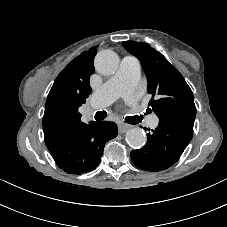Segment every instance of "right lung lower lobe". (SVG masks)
<instances>
[{
	"label": "right lung lower lobe",
	"instance_id": "98d812e1",
	"mask_svg": "<svg viewBox=\"0 0 227 227\" xmlns=\"http://www.w3.org/2000/svg\"><path fill=\"white\" fill-rule=\"evenodd\" d=\"M118 134L113 122H93L72 136L55 143L49 152L56 165L66 173L92 171L100 163L105 143Z\"/></svg>",
	"mask_w": 227,
	"mask_h": 227
}]
</instances>
